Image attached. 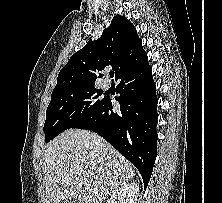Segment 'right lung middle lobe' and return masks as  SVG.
Here are the masks:
<instances>
[{"instance_id":"obj_1","label":"right lung middle lobe","mask_w":222,"mask_h":203,"mask_svg":"<svg viewBox=\"0 0 222 203\" xmlns=\"http://www.w3.org/2000/svg\"><path fill=\"white\" fill-rule=\"evenodd\" d=\"M101 94L102 91L94 85L52 92L44 124L46 142L72 128L96 110L106 100L97 99Z\"/></svg>"}]
</instances>
